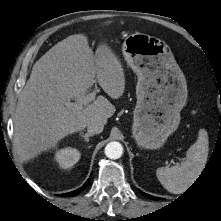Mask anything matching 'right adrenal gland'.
I'll use <instances>...</instances> for the list:
<instances>
[{"instance_id":"obj_1","label":"right adrenal gland","mask_w":221,"mask_h":221,"mask_svg":"<svg viewBox=\"0 0 221 221\" xmlns=\"http://www.w3.org/2000/svg\"><path fill=\"white\" fill-rule=\"evenodd\" d=\"M79 135H81L84 138L85 142H89V137L93 136V134H91V133H85L84 134L83 132H80Z\"/></svg>"}]
</instances>
